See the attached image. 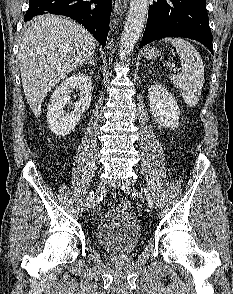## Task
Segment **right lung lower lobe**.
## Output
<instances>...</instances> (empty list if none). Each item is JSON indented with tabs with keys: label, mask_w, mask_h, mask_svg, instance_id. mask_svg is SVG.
<instances>
[{
	"label": "right lung lower lobe",
	"mask_w": 233,
	"mask_h": 294,
	"mask_svg": "<svg viewBox=\"0 0 233 294\" xmlns=\"http://www.w3.org/2000/svg\"><path fill=\"white\" fill-rule=\"evenodd\" d=\"M112 0H30L24 21L46 13L68 16L82 24L105 46Z\"/></svg>",
	"instance_id": "right-lung-lower-lobe-1"
}]
</instances>
